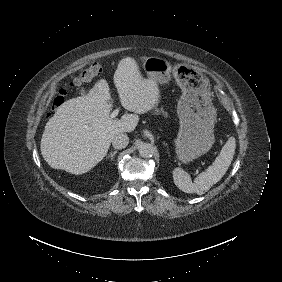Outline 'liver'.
<instances>
[{
  "label": "liver",
  "instance_id": "1",
  "mask_svg": "<svg viewBox=\"0 0 282 282\" xmlns=\"http://www.w3.org/2000/svg\"><path fill=\"white\" fill-rule=\"evenodd\" d=\"M113 85L121 105L136 113H144L154 106L157 88L151 80H142L129 58L119 63ZM111 93L101 81L85 97L63 103L46 124L41 139V153L45 161L56 169L81 174L103 159L114 135L132 131L138 115L124 114L109 120Z\"/></svg>",
  "mask_w": 282,
  "mask_h": 282
}]
</instances>
